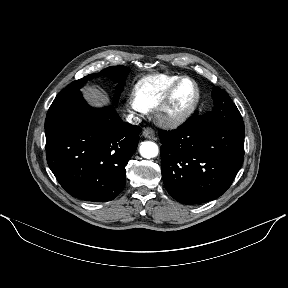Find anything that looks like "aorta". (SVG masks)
Segmentation results:
<instances>
[{
	"mask_svg": "<svg viewBox=\"0 0 288 288\" xmlns=\"http://www.w3.org/2000/svg\"><path fill=\"white\" fill-rule=\"evenodd\" d=\"M159 149L156 143L151 141L142 142L140 154L143 158L150 159L158 155Z\"/></svg>",
	"mask_w": 288,
	"mask_h": 288,
	"instance_id": "762f6f07",
	"label": "aorta"
}]
</instances>
